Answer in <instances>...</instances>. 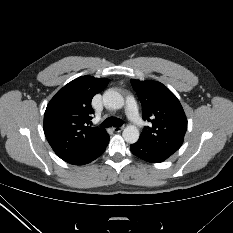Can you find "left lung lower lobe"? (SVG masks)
<instances>
[{
	"label": "left lung lower lobe",
	"mask_w": 233,
	"mask_h": 233,
	"mask_svg": "<svg viewBox=\"0 0 233 233\" xmlns=\"http://www.w3.org/2000/svg\"><path fill=\"white\" fill-rule=\"evenodd\" d=\"M130 150L135 156L151 163L163 162L172 155L147 145L141 139H139L136 143L131 144Z\"/></svg>",
	"instance_id": "0a47b994"
}]
</instances>
